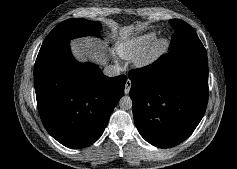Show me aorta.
I'll return each mask as SVG.
<instances>
[{
    "mask_svg": "<svg viewBox=\"0 0 237 169\" xmlns=\"http://www.w3.org/2000/svg\"><path fill=\"white\" fill-rule=\"evenodd\" d=\"M119 107L122 110H129L132 108V100L129 96H123L119 101Z\"/></svg>",
    "mask_w": 237,
    "mask_h": 169,
    "instance_id": "762f6f07",
    "label": "aorta"
}]
</instances>
